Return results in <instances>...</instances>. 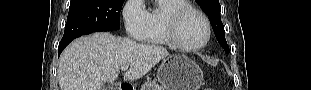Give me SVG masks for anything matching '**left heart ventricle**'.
Here are the masks:
<instances>
[{
	"label": "left heart ventricle",
	"instance_id": "b2bd125f",
	"mask_svg": "<svg viewBox=\"0 0 311 90\" xmlns=\"http://www.w3.org/2000/svg\"><path fill=\"white\" fill-rule=\"evenodd\" d=\"M179 36L183 43L187 45H197L206 36V28L202 18L196 13L187 14L180 26Z\"/></svg>",
	"mask_w": 311,
	"mask_h": 90
}]
</instances>
